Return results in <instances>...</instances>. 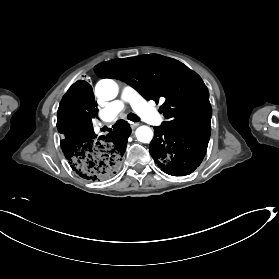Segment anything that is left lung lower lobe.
<instances>
[{
	"label": "left lung lower lobe",
	"mask_w": 279,
	"mask_h": 279,
	"mask_svg": "<svg viewBox=\"0 0 279 279\" xmlns=\"http://www.w3.org/2000/svg\"><path fill=\"white\" fill-rule=\"evenodd\" d=\"M149 151L161 170L180 176L193 172L202 162L207 150L209 133H187L160 127L154 128Z\"/></svg>",
	"instance_id": "left-lung-lower-lobe-1"
}]
</instances>
